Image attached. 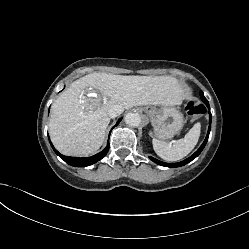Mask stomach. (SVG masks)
Returning <instances> with one entry per match:
<instances>
[{"instance_id":"0dacf381","label":"stomach","mask_w":249,"mask_h":249,"mask_svg":"<svg viewBox=\"0 0 249 249\" xmlns=\"http://www.w3.org/2000/svg\"><path fill=\"white\" fill-rule=\"evenodd\" d=\"M144 111L153 127L150 134L158 139L167 140L180 132L184 125L182 113L172 106L145 107Z\"/></svg>"}]
</instances>
